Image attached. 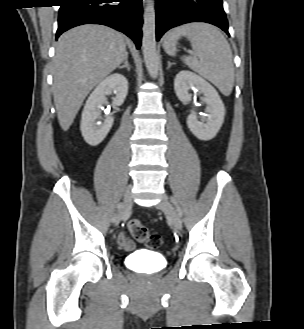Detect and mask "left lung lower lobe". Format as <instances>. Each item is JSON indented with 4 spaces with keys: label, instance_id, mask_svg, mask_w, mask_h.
I'll return each instance as SVG.
<instances>
[{
    "label": "left lung lower lobe",
    "instance_id": "obj_1",
    "mask_svg": "<svg viewBox=\"0 0 304 329\" xmlns=\"http://www.w3.org/2000/svg\"><path fill=\"white\" fill-rule=\"evenodd\" d=\"M189 22L210 23L229 35L222 0H156V40L167 30Z\"/></svg>",
    "mask_w": 304,
    "mask_h": 329
}]
</instances>
